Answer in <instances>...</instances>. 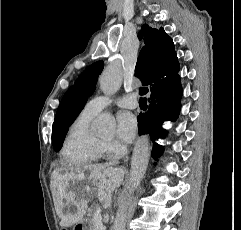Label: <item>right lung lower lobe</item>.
<instances>
[{"mask_svg": "<svg viewBox=\"0 0 241 230\" xmlns=\"http://www.w3.org/2000/svg\"><path fill=\"white\" fill-rule=\"evenodd\" d=\"M179 69L151 88L149 109L138 116L139 135L150 134L153 140L152 156L155 159L163 153V147L154 142L166 135L162 128L163 122L175 121L180 113L182 86L177 74Z\"/></svg>", "mask_w": 241, "mask_h": 230, "instance_id": "98d812e1", "label": "right lung lower lobe"}]
</instances>
